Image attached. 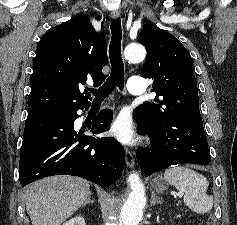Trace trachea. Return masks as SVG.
I'll use <instances>...</instances> for the list:
<instances>
[{"mask_svg":"<svg viewBox=\"0 0 237 225\" xmlns=\"http://www.w3.org/2000/svg\"><path fill=\"white\" fill-rule=\"evenodd\" d=\"M112 38L109 45V59L111 63V74L104 84L98 89L91 90L95 100L105 99L115 87L120 90L124 88V63L121 56L122 29L121 20L117 18L111 22Z\"/></svg>","mask_w":237,"mask_h":225,"instance_id":"3493384b","label":"trachea"}]
</instances>
